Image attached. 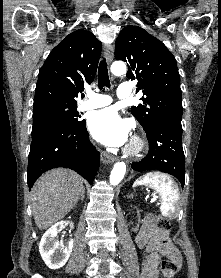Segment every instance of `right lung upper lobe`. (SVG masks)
Here are the masks:
<instances>
[{"label":"right lung upper lobe","instance_id":"1","mask_svg":"<svg viewBox=\"0 0 221 278\" xmlns=\"http://www.w3.org/2000/svg\"><path fill=\"white\" fill-rule=\"evenodd\" d=\"M93 33L76 30L49 54L38 75L34 106L45 102L77 104L84 83L91 84L101 55Z\"/></svg>","mask_w":221,"mask_h":278}]
</instances>
